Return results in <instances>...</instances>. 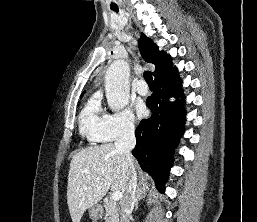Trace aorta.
<instances>
[{
    "instance_id": "aorta-1",
    "label": "aorta",
    "mask_w": 257,
    "mask_h": 222,
    "mask_svg": "<svg viewBox=\"0 0 257 222\" xmlns=\"http://www.w3.org/2000/svg\"><path fill=\"white\" fill-rule=\"evenodd\" d=\"M130 68L124 60L114 61L105 74V91L108 105L114 111L127 106L129 102Z\"/></svg>"
}]
</instances>
